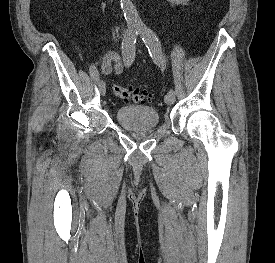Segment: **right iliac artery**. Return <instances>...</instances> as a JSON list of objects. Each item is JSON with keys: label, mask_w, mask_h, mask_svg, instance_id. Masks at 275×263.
Listing matches in <instances>:
<instances>
[{"label": "right iliac artery", "mask_w": 275, "mask_h": 263, "mask_svg": "<svg viewBox=\"0 0 275 263\" xmlns=\"http://www.w3.org/2000/svg\"><path fill=\"white\" fill-rule=\"evenodd\" d=\"M138 36L137 28H130L126 38L122 42V56L126 66H130L135 58V44ZM89 73L94 82L100 80L99 72L95 65H91Z\"/></svg>", "instance_id": "obj_1"}]
</instances>
